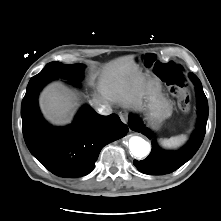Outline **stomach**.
Returning <instances> with one entry per match:
<instances>
[{"label": "stomach", "instance_id": "stomach-1", "mask_svg": "<svg viewBox=\"0 0 221 221\" xmlns=\"http://www.w3.org/2000/svg\"><path fill=\"white\" fill-rule=\"evenodd\" d=\"M141 109L145 111L150 126L157 129L163 120L171 116L173 107L161 92L160 84L154 82Z\"/></svg>", "mask_w": 221, "mask_h": 221}]
</instances>
